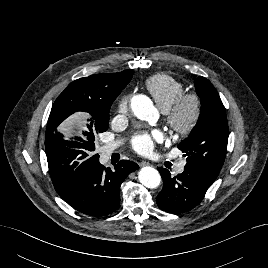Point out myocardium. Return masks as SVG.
<instances>
[{
	"mask_svg": "<svg viewBox=\"0 0 268 268\" xmlns=\"http://www.w3.org/2000/svg\"><path fill=\"white\" fill-rule=\"evenodd\" d=\"M164 113L166 122L174 132L188 135L200 120L202 99L194 92L183 93Z\"/></svg>",
	"mask_w": 268,
	"mask_h": 268,
	"instance_id": "f54148a6",
	"label": "myocardium"
}]
</instances>
